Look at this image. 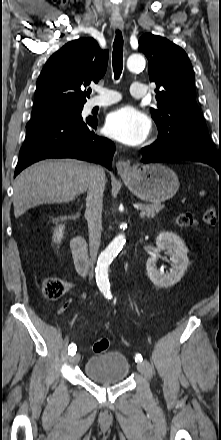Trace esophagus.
I'll use <instances>...</instances> for the list:
<instances>
[{"label":"esophagus","instance_id":"esophagus-1","mask_svg":"<svg viewBox=\"0 0 221 440\" xmlns=\"http://www.w3.org/2000/svg\"><path fill=\"white\" fill-rule=\"evenodd\" d=\"M111 25L114 29L122 30L124 23L121 18H111ZM116 168L121 176H127L132 172V166L128 161L120 160L116 163Z\"/></svg>","mask_w":221,"mask_h":440}]
</instances>
